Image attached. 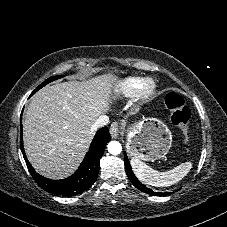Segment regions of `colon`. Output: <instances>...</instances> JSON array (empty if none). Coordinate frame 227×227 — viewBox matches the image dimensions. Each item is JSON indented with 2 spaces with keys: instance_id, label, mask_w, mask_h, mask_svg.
<instances>
[{
  "instance_id": "1",
  "label": "colon",
  "mask_w": 227,
  "mask_h": 227,
  "mask_svg": "<svg viewBox=\"0 0 227 227\" xmlns=\"http://www.w3.org/2000/svg\"><path fill=\"white\" fill-rule=\"evenodd\" d=\"M166 105L171 112L173 123L181 132L184 140H188L191 112L184 98L177 92H171L167 95Z\"/></svg>"
}]
</instances>
